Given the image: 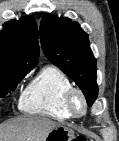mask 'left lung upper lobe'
<instances>
[{
  "mask_svg": "<svg viewBox=\"0 0 119 141\" xmlns=\"http://www.w3.org/2000/svg\"><path fill=\"white\" fill-rule=\"evenodd\" d=\"M40 37L46 57L75 81L92 106L98 95L97 67L88 35L69 18L47 14L40 24Z\"/></svg>",
  "mask_w": 119,
  "mask_h": 141,
  "instance_id": "left-lung-upper-lobe-1",
  "label": "left lung upper lobe"
}]
</instances>
